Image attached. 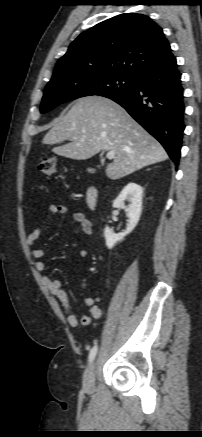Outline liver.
<instances>
[{
  "instance_id": "liver-1",
  "label": "liver",
  "mask_w": 202,
  "mask_h": 437,
  "mask_svg": "<svg viewBox=\"0 0 202 437\" xmlns=\"http://www.w3.org/2000/svg\"><path fill=\"white\" fill-rule=\"evenodd\" d=\"M65 140L71 142L52 151L74 160L89 159L101 150L114 151V160L106 168L112 180L168 158L162 145L125 109L99 96L78 99L65 116L53 123L42 142L57 144Z\"/></svg>"
}]
</instances>
